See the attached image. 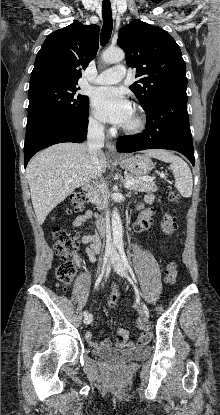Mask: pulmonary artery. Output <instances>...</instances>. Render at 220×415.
Wrapping results in <instances>:
<instances>
[{
    "label": "pulmonary artery",
    "mask_w": 220,
    "mask_h": 415,
    "mask_svg": "<svg viewBox=\"0 0 220 415\" xmlns=\"http://www.w3.org/2000/svg\"><path fill=\"white\" fill-rule=\"evenodd\" d=\"M125 77V67L116 65L100 73L94 82L99 85L115 84Z\"/></svg>",
    "instance_id": "1"
}]
</instances>
